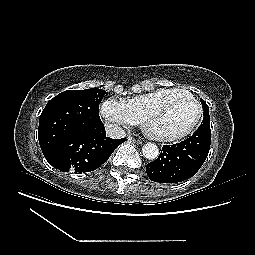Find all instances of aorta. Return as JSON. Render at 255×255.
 <instances>
[{
	"label": "aorta",
	"mask_w": 255,
	"mask_h": 255,
	"mask_svg": "<svg viewBox=\"0 0 255 255\" xmlns=\"http://www.w3.org/2000/svg\"><path fill=\"white\" fill-rule=\"evenodd\" d=\"M142 153L146 159L154 160L159 155V149L156 144L149 142L143 145Z\"/></svg>",
	"instance_id": "1"
}]
</instances>
